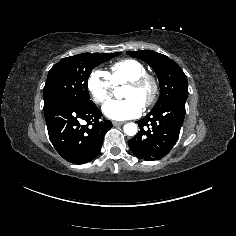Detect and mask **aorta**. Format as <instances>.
Returning <instances> with one entry per match:
<instances>
[{"instance_id": "obj_1", "label": "aorta", "mask_w": 236, "mask_h": 236, "mask_svg": "<svg viewBox=\"0 0 236 236\" xmlns=\"http://www.w3.org/2000/svg\"><path fill=\"white\" fill-rule=\"evenodd\" d=\"M123 130L126 135L133 136L137 133V125L133 122L126 123Z\"/></svg>"}]
</instances>
